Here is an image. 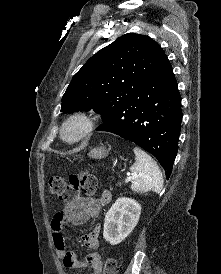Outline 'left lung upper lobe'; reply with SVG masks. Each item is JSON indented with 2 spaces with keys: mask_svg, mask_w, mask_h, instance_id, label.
<instances>
[{
  "mask_svg": "<svg viewBox=\"0 0 221 274\" xmlns=\"http://www.w3.org/2000/svg\"><path fill=\"white\" fill-rule=\"evenodd\" d=\"M167 58L150 37L127 33L92 56L73 76L61 111L93 109L102 117L124 105Z\"/></svg>",
  "mask_w": 221,
  "mask_h": 274,
  "instance_id": "obj_1",
  "label": "left lung upper lobe"
}]
</instances>
